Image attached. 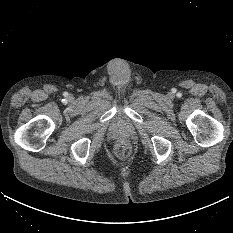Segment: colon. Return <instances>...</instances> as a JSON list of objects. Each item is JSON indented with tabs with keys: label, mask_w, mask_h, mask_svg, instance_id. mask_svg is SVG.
I'll return each mask as SVG.
<instances>
[{
	"label": "colon",
	"mask_w": 233,
	"mask_h": 233,
	"mask_svg": "<svg viewBox=\"0 0 233 233\" xmlns=\"http://www.w3.org/2000/svg\"><path fill=\"white\" fill-rule=\"evenodd\" d=\"M116 153L119 157H126L130 153V145L125 140H121L116 145Z\"/></svg>",
	"instance_id": "colon-1"
}]
</instances>
